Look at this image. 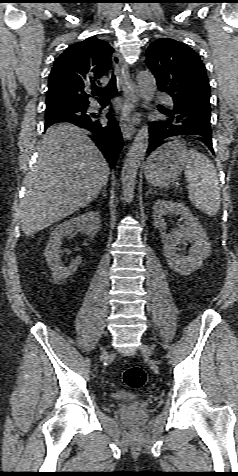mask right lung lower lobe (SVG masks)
<instances>
[{
    "instance_id": "98d812e1",
    "label": "right lung lower lobe",
    "mask_w": 238,
    "mask_h": 476,
    "mask_svg": "<svg viewBox=\"0 0 238 476\" xmlns=\"http://www.w3.org/2000/svg\"><path fill=\"white\" fill-rule=\"evenodd\" d=\"M108 124L103 125L96 119V116L89 115L83 118L72 119L69 123H72L78 127L85 128L92 133L90 136L92 141L104 154L106 160L110 164V167H114L117 160V156L122 148V135L120 128L115 118L111 115H107ZM50 124L45 123V130Z\"/></svg>"
}]
</instances>
